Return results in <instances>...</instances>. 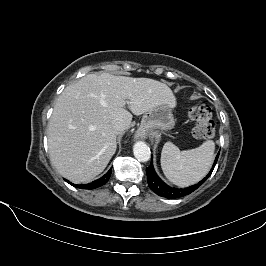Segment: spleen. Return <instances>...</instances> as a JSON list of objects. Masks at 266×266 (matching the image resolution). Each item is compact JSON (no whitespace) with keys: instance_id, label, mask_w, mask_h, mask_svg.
I'll list each match as a JSON object with an SVG mask.
<instances>
[{"instance_id":"1","label":"spleen","mask_w":266,"mask_h":266,"mask_svg":"<svg viewBox=\"0 0 266 266\" xmlns=\"http://www.w3.org/2000/svg\"><path fill=\"white\" fill-rule=\"evenodd\" d=\"M214 150L215 144L211 140L184 151H180L172 142H166L161 153L162 170L173 184L192 185L208 173L214 159Z\"/></svg>"}]
</instances>
